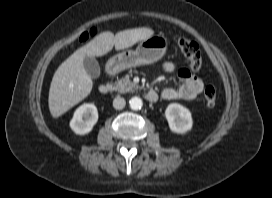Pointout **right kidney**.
<instances>
[{"instance_id": "ca27d5eb", "label": "right kidney", "mask_w": 272, "mask_h": 198, "mask_svg": "<svg viewBox=\"0 0 272 198\" xmlns=\"http://www.w3.org/2000/svg\"><path fill=\"white\" fill-rule=\"evenodd\" d=\"M97 121V107L92 103H86L75 110L70 128L78 135H85L93 129Z\"/></svg>"}]
</instances>
